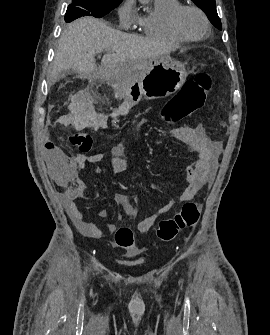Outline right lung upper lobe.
<instances>
[{"label":"right lung upper lobe","mask_w":270,"mask_h":335,"mask_svg":"<svg viewBox=\"0 0 270 335\" xmlns=\"http://www.w3.org/2000/svg\"><path fill=\"white\" fill-rule=\"evenodd\" d=\"M110 1H114V2H121L122 0H110Z\"/></svg>","instance_id":"right-lung-upper-lobe-1"}]
</instances>
